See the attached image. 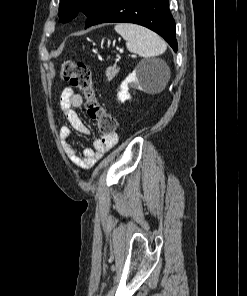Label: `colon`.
Listing matches in <instances>:
<instances>
[{"label":"colon","mask_w":247,"mask_h":296,"mask_svg":"<svg viewBox=\"0 0 247 296\" xmlns=\"http://www.w3.org/2000/svg\"><path fill=\"white\" fill-rule=\"evenodd\" d=\"M61 76L64 81L84 93L87 114L96 122L100 133L104 136L113 135L116 130V120L98 101L89 67L83 62L67 61L62 65Z\"/></svg>","instance_id":"5ec220e1"}]
</instances>
